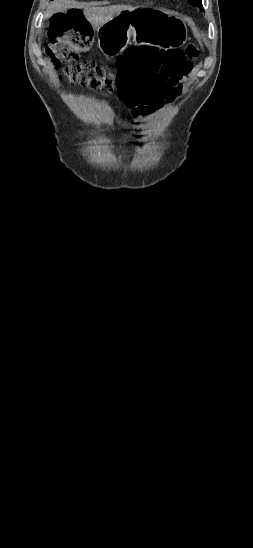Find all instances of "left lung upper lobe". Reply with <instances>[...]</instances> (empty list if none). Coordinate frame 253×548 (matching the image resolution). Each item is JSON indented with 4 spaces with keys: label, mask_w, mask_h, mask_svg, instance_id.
<instances>
[{
    "label": "left lung upper lobe",
    "mask_w": 253,
    "mask_h": 548,
    "mask_svg": "<svg viewBox=\"0 0 253 548\" xmlns=\"http://www.w3.org/2000/svg\"><path fill=\"white\" fill-rule=\"evenodd\" d=\"M188 2L195 6V7H201V9L203 10V7H202V1L201 0H188Z\"/></svg>",
    "instance_id": "1"
}]
</instances>
